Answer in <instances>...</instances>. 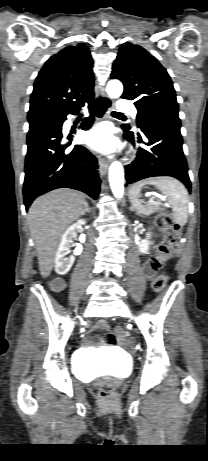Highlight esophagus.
<instances>
[{"label": "esophagus", "instance_id": "1", "mask_svg": "<svg viewBox=\"0 0 208 461\" xmlns=\"http://www.w3.org/2000/svg\"><path fill=\"white\" fill-rule=\"evenodd\" d=\"M98 97L100 98H105L107 99L109 102H105V103H98L97 101L94 102V110H95V113L97 115V118L99 120H102V119H105L107 116H108V113H109V110H110V98L109 96L105 93V90L104 88H101L99 94H98ZM98 162H99V168H100V172L101 174H105L107 169H108V166H109V162L101 157V156H98Z\"/></svg>", "mask_w": 208, "mask_h": 461}]
</instances>
